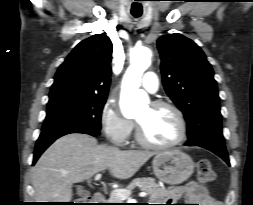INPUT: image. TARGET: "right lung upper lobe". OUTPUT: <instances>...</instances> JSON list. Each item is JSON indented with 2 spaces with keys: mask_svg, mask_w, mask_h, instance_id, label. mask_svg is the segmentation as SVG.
Returning a JSON list of instances; mask_svg holds the SVG:
<instances>
[{
  "mask_svg": "<svg viewBox=\"0 0 253 205\" xmlns=\"http://www.w3.org/2000/svg\"><path fill=\"white\" fill-rule=\"evenodd\" d=\"M113 46L105 34L81 41L60 65L49 100L67 96L107 97Z\"/></svg>",
  "mask_w": 253,
  "mask_h": 205,
  "instance_id": "right-lung-upper-lobe-1",
  "label": "right lung upper lobe"
}]
</instances>
